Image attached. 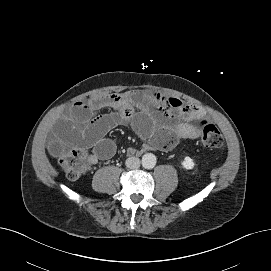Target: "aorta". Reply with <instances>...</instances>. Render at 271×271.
Segmentation results:
<instances>
[{
	"mask_svg": "<svg viewBox=\"0 0 271 271\" xmlns=\"http://www.w3.org/2000/svg\"><path fill=\"white\" fill-rule=\"evenodd\" d=\"M156 164V156L152 153H146L142 156V165L145 168H153Z\"/></svg>",
	"mask_w": 271,
	"mask_h": 271,
	"instance_id": "obj_1",
	"label": "aorta"
}]
</instances>
